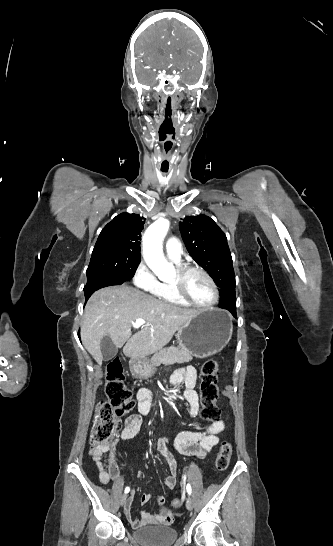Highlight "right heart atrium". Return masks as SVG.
<instances>
[{
    "label": "right heart atrium",
    "instance_id": "d8ad5b80",
    "mask_svg": "<svg viewBox=\"0 0 333 546\" xmlns=\"http://www.w3.org/2000/svg\"><path fill=\"white\" fill-rule=\"evenodd\" d=\"M133 283L137 288L154 296H158L162 290V283L144 261L137 266L133 274Z\"/></svg>",
    "mask_w": 333,
    "mask_h": 546
}]
</instances>
